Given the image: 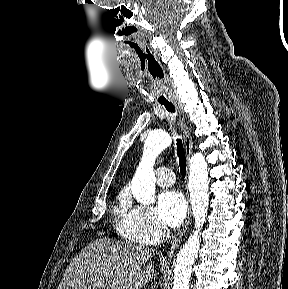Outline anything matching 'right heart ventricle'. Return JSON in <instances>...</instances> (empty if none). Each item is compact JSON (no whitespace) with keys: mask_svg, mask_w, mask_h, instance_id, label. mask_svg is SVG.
I'll return each mask as SVG.
<instances>
[{"mask_svg":"<svg viewBox=\"0 0 288 289\" xmlns=\"http://www.w3.org/2000/svg\"><path fill=\"white\" fill-rule=\"evenodd\" d=\"M127 202H128L127 195L125 193H121L118 196V202H117V206H116V212H117L118 216H120V217L123 216Z\"/></svg>","mask_w":288,"mask_h":289,"instance_id":"right-heart-ventricle-1","label":"right heart ventricle"}]
</instances>
